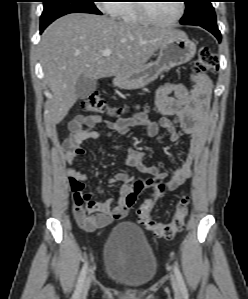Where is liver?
<instances>
[{
    "label": "liver",
    "mask_w": 248,
    "mask_h": 299,
    "mask_svg": "<svg viewBox=\"0 0 248 299\" xmlns=\"http://www.w3.org/2000/svg\"><path fill=\"white\" fill-rule=\"evenodd\" d=\"M169 27H150L85 13L65 15L42 34L39 54L52 92L51 121L60 123L77 101L80 76L100 79L124 75L144 66L174 34ZM105 49L111 55H102Z\"/></svg>",
    "instance_id": "1"
}]
</instances>
